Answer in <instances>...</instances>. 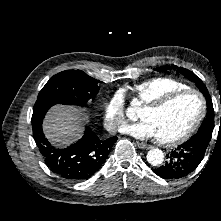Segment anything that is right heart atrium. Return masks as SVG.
<instances>
[{"label": "right heart atrium", "mask_w": 221, "mask_h": 221, "mask_svg": "<svg viewBox=\"0 0 221 221\" xmlns=\"http://www.w3.org/2000/svg\"><path fill=\"white\" fill-rule=\"evenodd\" d=\"M126 122V103L124 94L116 91L104 107V124L108 131L117 132Z\"/></svg>", "instance_id": "right-heart-atrium-1"}]
</instances>
